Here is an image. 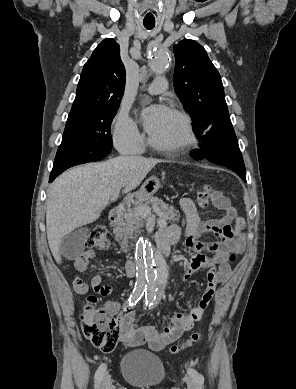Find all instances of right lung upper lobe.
Here are the masks:
<instances>
[{
    "mask_svg": "<svg viewBox=\"0 0 296 389\" xmlns=\"http://www.w3.org/2000/svg\"><path fill=\"white\" fill-rule=\"evenodd\" d=\"M120 47L112 38L103 40L84 65L68 120L93 109L119 106L125 87Z\"/></svg>",
    "mask_w": 296,
    "mask_h": 389,
    "instance_id": "1",
    "label": "right lung upper lobe"
}]
</instances>
